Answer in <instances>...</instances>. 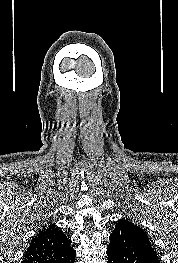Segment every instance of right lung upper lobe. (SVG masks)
<instances>
[{"instance_id": "obj_1", "label": "right lung upper lobe", "mask_w": 178, "mask_h": 263, "mask_svg": "<svg viewBox=\"0 0 178 263\" xmlns=\"http://www.w3.org/2000/svg\"><path fill=\"white\" fill-rule=\"evenodd\" d=\"M70 243L63 231L50 225L32 238L21 263H54L73 251Z\"/></svg>"}]
</instances>
